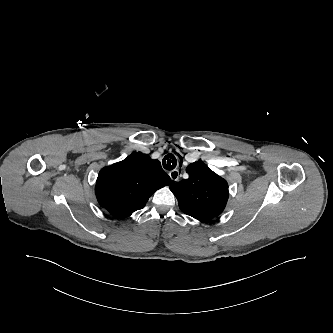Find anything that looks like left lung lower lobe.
Segmentation results:
<instances>
[{
  "instance_id": "obj_1",
  "label": "left lung lower lobe",
  "mask_w": 333,
  "mask_h": 333,
  "mask_svg": "<svg viewBox=\"0 0 333 333\" xmlns=\"http://www.w3.org/2000/svg\"><path fill=\"white\" fill-rule=\"evenodd\" d=\"M187 215H190L194 218H196L197 220L200 221H208L213 219L214 217H217L219 215V213L215 212V213H201V212H195V211H189L186 213Z\"/></svg>"
}]
</instances>
